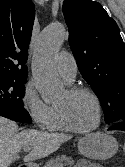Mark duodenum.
<instances>
[{"mask_svg": "<svg viewBox=\"0 0 125 167\" xmlns=\"http://www.w3.org/2000/svg\"><path fill=\"white\" fill-rule=\"evenodd\" d=\"M19 167H28L27 165H20Z\"/></svg>", "mask_w": 125, "mask_h": 167, "instance_id": "410a0bca", "label": "duodenum"}]
</instances>
